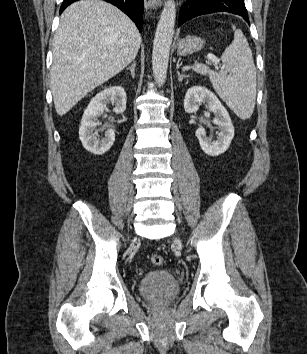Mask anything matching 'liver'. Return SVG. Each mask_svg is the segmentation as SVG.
Instances as JSON below:
<instances>
[{
	"label": "liver",
	"mask_w": 307,
	"mask_h": 354,
	"mask_svg": "<svg viewBox=\"0 0 307 354\" xmlns=\"http://www.w3.org/2000/svg\"><path fill=\"white\" fill-rule=\"evenodd\" d=\"M141 36L131 19L101 0H81L60 17L53 39L51 91L59 116L136 57Z\"/></svg>",
	"instance_id": "liver-1"
}]
</instances>
